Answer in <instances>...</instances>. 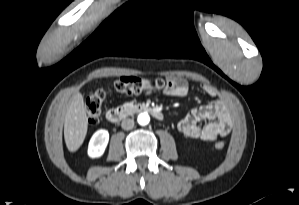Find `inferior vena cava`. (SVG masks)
I'll list each match as a JSON object with an SVG mask.
<instances>
[{"label":"inferior vena cava","instance_id":"602c4592","mask_svg":"<svg viewBox=\"0 0 299 205\" xmlns=\"http://www.w3.org/2000/svg\"><path fill=\"white\" fill-rule=\"evenodd\" d=\"M121 126L124 130H131L134 127V120L130 118L124 119Z\"/></svg>","mask_w":299,"mask_h":205}]
</instances>
